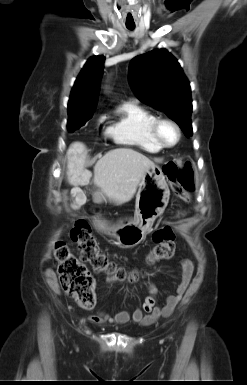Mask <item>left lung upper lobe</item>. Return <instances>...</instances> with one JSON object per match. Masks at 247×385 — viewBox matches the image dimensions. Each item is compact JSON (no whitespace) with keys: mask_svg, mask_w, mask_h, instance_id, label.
I'll use <instances>...</instances> for the list:
<instances>
[{"mask_svg":"<svg viewBox=\"0 0 247 385\" xmlns=\"http://www.w3.org/2000/svg\"><path fill=\"white\" fill-rule=\"evenodd\" d=\"M129 82L144 103L164 111L192 136L191 89L181 66L165 49H156L135 57L130 64Z\"/></svg>","mask_w":247,"mask_h":385,"instance_id":"5c2ea615","label":"left lung upper lobe"}]
</instances>
